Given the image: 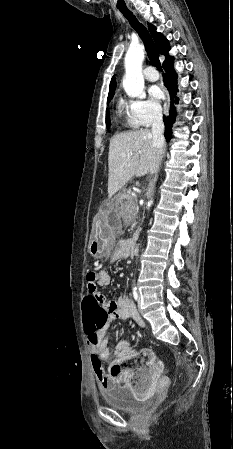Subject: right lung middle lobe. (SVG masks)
I'll use <instances>...</instances> for the list:
<instances>
[{"label":"right lung middle lobe","instance_id":"1","mask_svg":"<svg viewBox=\"0 0 233 449\" xmlns=\"http://www.w3.org/2000/svg\"><path fill=\"white\" fill-rule=\"evenodd\" d=\"M113 96H114V94H109V95H108V101H107V103L110 102V99H112ZM106 125H107V126L110 125V116H109L108 110H106Z\"/></svg>","mask_w":233,"mask_h":449}]
</instances>
